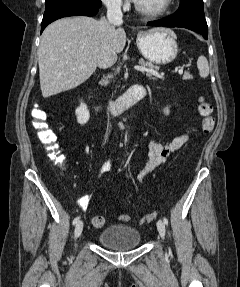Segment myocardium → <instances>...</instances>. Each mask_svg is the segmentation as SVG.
Listing matches in <instances>:
<instances>
[{"label": "myocardium", "instance_id": "obj_1", "mask_svg": "<svg viewBox=\"0 0 240 287\" xmlns=\"http://www.w3.org/2000/svg\"><path fill=\"white\" fill-rule=\"evenodd\" d=\"M172 0H163L160 7L156 9H147L142 7L137 1H135L134 7L136 11L144 16L159 17L164 15L171 7Z\"/></svg>", "mask_w": 240, "mask_h": 287}]
</instances>
